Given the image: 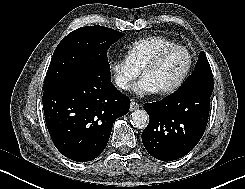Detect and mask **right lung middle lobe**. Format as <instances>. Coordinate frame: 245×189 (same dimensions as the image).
I'll list each match as a JSON object with an SVG mask.
<instances>
[{
  "label": "right lung middle lobe",
  "mask_w": 245,
  "mask_h": 189,
  "mask_svg": "<svg viewBox=\"0 0 245 189\" xmlns=\"http://www.w3.org/2000/svg\"><path fill=\"white\" fill-rule=\"evenodd\" d=\"M124 36L103 26H86L68 34L55 49L44 80L43 90H50L81 77L90 70H110L109 47Z\"/></svg>",
  "instance_id": "dd1d6c3e"
}]
</instances>
